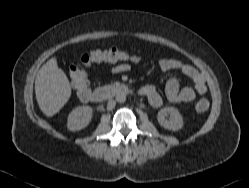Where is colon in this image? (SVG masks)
Listing matches in <instances>:
<instances>
[{"label":"colon","mask_w":249,"mask_h":188,"mask_svg":"<svg viewBox=\"0 0 249 188\" xmlns=\"http://www.w3.org/2000/svg\"><path fill=\"white\" fill-rule=\"evenodd\" d=\"M128 59V53L112 47L107 50H96L88 54H83L79 59L72 61L70 63V78L76 95L82 100L88 99L90 93V84L87 79L85 68L95 63L117 62ZM208 107L209 102L205 98L200 99L196 103V110L198 112H205Z\"/></svg>","instance_id":"obj_1"}]
</instances>
